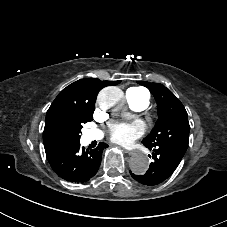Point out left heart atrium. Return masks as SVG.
<instances>
[{
	"mask_svg": "<svg viewBox=\"0 0 227 227\" xmlns=\"http://www.w3.org/2000/svg\"><path fill=\"white\" fill-rule=\"evenodd\" d=\"M111 142L116 144H131L145 133V124L139 119L133 121L112 120L107 124Z\"/></svg>",
	"mask_w": 227,
	"mask_h": 227,
	"instance_id": "1",
	"label": "left heart atrium"
}]
</instances>
